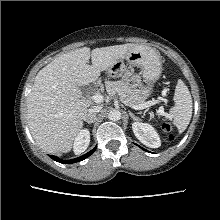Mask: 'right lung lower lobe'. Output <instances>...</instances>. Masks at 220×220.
<instances>
[{
    "label": "right lung lower lobe",
    "instance_id": "98d812e1",
    "mask_svg": "<svg viewBox=\"0 0 220 220\" xmlns=\"http://www.w3.org/2000/svg\"><path fill=\"white\" fill-rule=\"evenodd\" d=\"M95 149H96V147L94 149H92L91 151H89L88 153H86L85 155L80 156L75 159H71V160H62V159L58 158L57 156H53V155H50V157L59 163H76V162L82 161V160L86 159L87 157H89L95 151Z\"/></svg>",
    "mask_w": 220,
    "mask_h": 220
}]
</instances>
